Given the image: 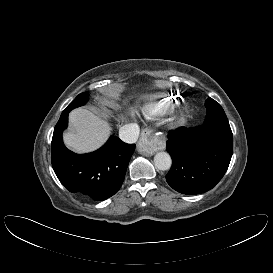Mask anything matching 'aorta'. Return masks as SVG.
Here are the masks:
<instances>
[{
	"mask_svg": "<svg viewBox=\"0 0 273 273\" xmlns=\"http://www.w3.org/2000/svg\"><path fill=\"white\" fill-rule=\"evenodd\" d=\"M154 164L157 169L166 171L170 169L172 165V160L167 152H158L154 156Z\"/></svg>",
	"mask_w": 273,
	"mask_h": 273,
	"instance_id": "1",
	"label": "aorta"
}]
</instances>
